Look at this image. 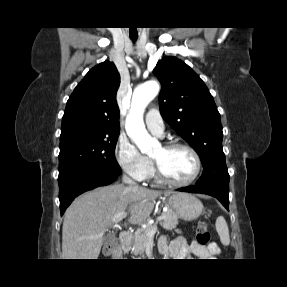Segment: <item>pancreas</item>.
<instances>
[{
    "label": "pancreas",
    "mask_w": 287,
    "mask_h": 287,
    "mask_svg": "<svg viewBox=\"0 0 287 287\" xmlns=\"http://www.w3.org/2000/svg\"><path fill=\"white\" fill-rule=\"evenodd\" d=\"M161 215H163L165 218L163 219L161 225L166 230H175L178 233H181L180 230L176 229V226L178 224V217L175 213H173L170 209H168L166 212H163ZM152 228L151 224H147V227L144 229H138L134 233V252L137 254H142L145 251L146 245L148 240L150 239V236L147 234V232Z\"/></svg>",
    "instance_id": "1"
}]
</instances>
